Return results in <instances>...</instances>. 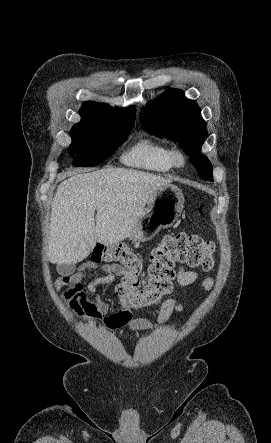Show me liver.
I'll return each mask as SVG.
<instances>
[{"label":"liver","instance_id":"obj_1","mask_svg":"<svg viewBox=\"0 0 271 443\" xmlns=\"http://www.w3.org/2000/svg\"><path fill=\"white\" fill-rule=\"evenodd\" d=\"M66 178L53 198L48 235L49 261L60 265L82 261L97 241L111 245L130 237L154 190L171 186L155 174L111 166Z\"/></svg>","mask_w":271,"mask_h":443}]
</instances>
